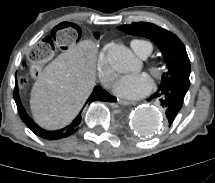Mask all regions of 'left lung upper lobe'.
<instances>
[{
    "mask_svg": "<svg viewBox=\"0 0 215 183\" xmlns=\"http://www.w3.org/2000/svg\"><path fill=\"white\" fill-rule=\"evenodd\" d=\"M119 30L152 40L163 54L168 71L162 75L160 86L170 83L190 86V61L182 41L173 33L147 22L122 25Z\"/></svg>",
    "mask_w": 215,
    "mask_h": 183,
    "instance_id": "obj_1",
    "label": "left lung upper lobe"
}]
</instances>
